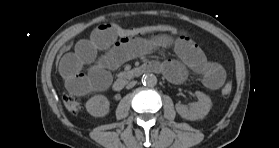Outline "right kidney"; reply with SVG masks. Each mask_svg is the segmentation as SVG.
Returning <instances> with one entry per match:
<instances>
[{"instance_id": "1", "label": "right kidney", "mask_w": 279, "mask_h": 148, "mask_svg": "<svg viewBox=\"0 0 279 148\" xmlns=\"http://www.w3.org/2000/svg\"><path fill=\"white\" fill-rule=\"evenodd\" d=\"M86 110L94 117H104L110 111L109 101L104 95H95L86 102Z\"/></svg>"}]
</instances>
